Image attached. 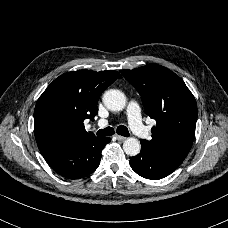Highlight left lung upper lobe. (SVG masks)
Wrapping results in <instances>:
<instances>
[{
  "mask_svg": "<svg viewBox=\"0 0 228 228\" xmlns=\"http://www.w3.org/2000/svg\"><path fill=\"white\" fill-rule=\"evenodd\" d=\"M121 73L141 95L146 113L156 120L152 139L141 143L153 152L185 158L195 136L197 105L183 80L157 64Z\"/></svg>",
  "mask_w": 228,
  "mask_h": 228,
  "instance_id": "obj_1",
  "label": "left lung upper lobe"
}]
</instances>
